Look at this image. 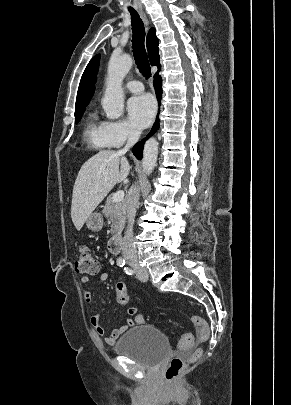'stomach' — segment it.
<instances>
[{"label": "stomach", "mask_w": 291, "mask_h": 405, "mask_svg": "<svg viewBox=\"0 0 291 405\" xmlns=\"http://www.w3.org/2000/svg\"><path fill=\"white\" fill-rule=\"evenodd\" d=\"M86 226L92 231H99L103 227V217L100 213L94 212L91 213L88 219L86 220Z\"/></svg>", "instance_id": "obj_1"}]
</instances>
